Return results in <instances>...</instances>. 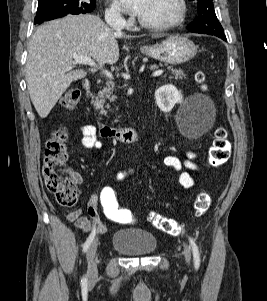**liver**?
<instances>
[{
    "label": "liver",
    "mask_w": 267,
    "mask_h": 301,
    "mask_svg": "<svg viewBox=\"0 0 267 301\" xmlns=\"http://www.w3.org/2000/svg\"><path fill=\"white\" fill-rule=\"evenodd\" d=\"M123 37L90 14L69 15L39 26L26 63L27 89L38 115L46 118L71 83L86 77V71L73 70L72 54L93 58L100 67L114 64L119 59L117 38Z\"/></svg>",
    "instance_id": "1"
}]
</instances>
